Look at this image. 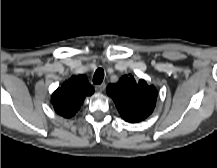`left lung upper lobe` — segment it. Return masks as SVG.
Wrapping results in <instances>:
<instances>
[{
	"label": "left lung upper lobe",
	"mask_w": 217,
	"mask_h": 168,
	"mask_svg": "<svg viewBox=\"0 0 217 168\" xmlns=\"http://www.w3.org/2000/svg\"><path fill=\"white\" fill-rule=\"evenodd\" d=\"M107 94L121 117L130 123L146 119L153 112L157 98L154 86L143 79L136 81L131 74L122 76L116 84H109Z\"/></svg>",
	"instance_id": "left-lung-upper-lobe-1"
}]
</instances>
